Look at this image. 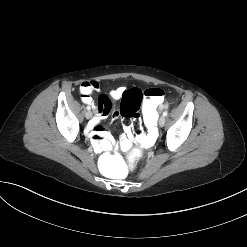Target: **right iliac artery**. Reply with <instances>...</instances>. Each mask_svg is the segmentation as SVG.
<instances>
[{
    "instance_id": "1",
    "label": "right iliac artery",
    "mask_w": 247,
    "mask_h": 247,
    "mask_svg": "<svg viewBox=\"0 0 247 247\" xmlns=\"http://www.w3.org/2000/svg\"><path fill=\"white\" fill-rule=\"evenodd\" d=\"M86 109H87V110H91V107H90V106H87Z\"/></svg>"
}]
</instances>
